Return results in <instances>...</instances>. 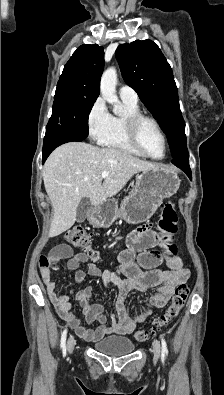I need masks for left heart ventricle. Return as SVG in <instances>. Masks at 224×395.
Segmentation results:
<instances>
[{"label": "left heart ventricle", "mask_w": 224, "mask_h": 395, "mask_svg": "<svg viewBox=\"0 0 224 395\" xmlns=\"http://www.w3.org/2000/svg\"><path fill=\"white\" fill-rule=\"evenodd\" d=\"M140 140L145 150L153 157L160 158L164 155V143L155 127L145 122L140 128Z\"/></svg>", "instance_id": "left-heart-ventricle-1"}]
</instances>
